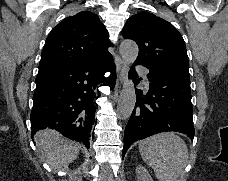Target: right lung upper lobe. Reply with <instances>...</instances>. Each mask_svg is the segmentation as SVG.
I'll use <instances>...</instances> for the list:
<instances>
[{
	"instance_id": "right-lung-upper-lobe-1",
	"label": "right lung upper lobe",
	"mask_w": 228,
	"mask_h": 181,
	"mask_svg": "<svg viewBox=\"0 0 228 181\" xmlns=\"http://www.w3.org/2000/svg\"><path fill=\"white\" fill-rule=\"evenodd\" d=\"M108 32L98 16L81 11L53 28L41 55L39 73L111 55Z\"/></svg>"
}]
</instances>
